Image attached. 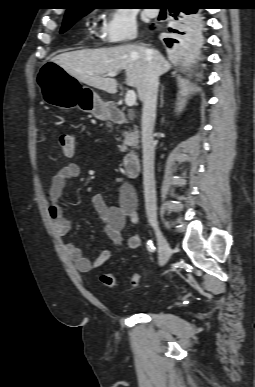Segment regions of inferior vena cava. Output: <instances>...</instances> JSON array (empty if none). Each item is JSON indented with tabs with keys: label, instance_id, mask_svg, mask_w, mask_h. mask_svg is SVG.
<instances>
[{
	"label": "inferior vena cava",
	"instance_id": "inferior-vena-cava-1",
	"mask_svg": "<svg viewBox=\"0 0 255 387\" xmlns=\"http://www.w3.org/2000/svg\"><path fill=\"white\" fill-rule=\"evenodd\" d=\"M148 65L146 79L139 97L143 102L142 114V145H143V185L146 214L149 222L157 221L156 189L154 177V151L153 128L156 117L157 93L159 75L155 64L147 50Z\"/></svg>",
	"mask_w": 255,
	"mask_h": 387
}]
</instances>
